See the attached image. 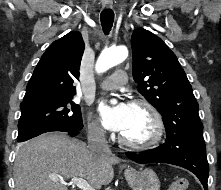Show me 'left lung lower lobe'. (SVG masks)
<instances>
[{
	"label": "left lung lower lobe",
	"instance_id": "1",
	"mask_svg": "<svg viewBox=\"0 0 221 190\" xmlns=\"http://www.w3.org/2000/svg\"><path fill=\"white\" fill-rule=\"evenodd\" d=\"M173 137L167 134L166 142L157 148L139 153L126 152V156L141 164L161 162L183 167L194 173L208 190L209 166L206 149L194 146L174 147Z\"/></svg>",
	"mask_w": 221,
	"mask_h": 190
}]
</instances>
